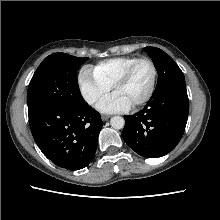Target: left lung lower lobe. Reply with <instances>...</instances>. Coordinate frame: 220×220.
<instances>
[{
  "mask_svg": "<svg viewBox=\"0 0 220 220\" xmlns=\"http://www.w3.org/2000/svg\"><path fill=\"white\" fill-rule=\"evenodd\" d=\"M189 111L185 83H178L152 95L146 106L126 115L122 137L144 157H161L181 140Z\"/></svg>",
  "mask_w": 220,
  "mask_h": 220,
  "instance_id": "0a47b994",
  "label": "left lung lower lobe"
}]
</instances>
